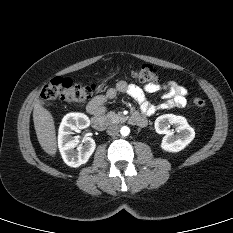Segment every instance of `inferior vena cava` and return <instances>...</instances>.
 <instances>
[{
  "label": "inferior vena cava",
  "instance_id": "602c4592",
  "mask_svg": "<svg viewBox=\"0 0 233 233\" xmlns=\"http://www.w3.org/2000/svg\"><path fill=\"white\" fill-rule=\"evenodd\" d=\"M119 132V126L117 124H111L108 128H107V133L111 136H115L117 135Z\"/></svg>",
  "mask_w": 233,
  "mask_h": 233
}]
</instances>
